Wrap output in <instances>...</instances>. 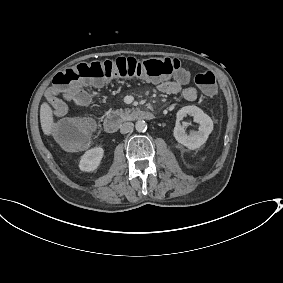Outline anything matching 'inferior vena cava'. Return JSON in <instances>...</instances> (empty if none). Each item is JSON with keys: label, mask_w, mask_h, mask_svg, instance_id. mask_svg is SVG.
<instances>
[{"label": "inferior vena cava", "mask_w": 283, "mask_h": 283, "mask_svg": "<svg viewBox=\"0 0 283 283\" xmlns=\"http://www.w3.org/2000/svg\"><path fill=\"white\" fill-rule=\"evenodd\" d=\"M134 124L132 122H125L120 127V132L122 134H126L128 132H131L133 130Z\"/></svg>", "instance_id": "inferior-vena-cava-1"}]
</instances>
